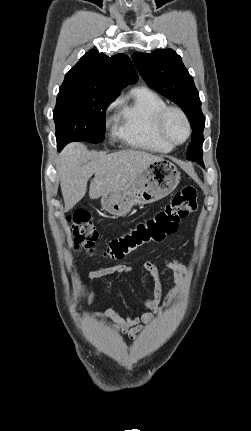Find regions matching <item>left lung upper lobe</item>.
<instances>
[{
    "mask_svg": "<svg viewBox=\"0 0 251 431\" xmlns=\"http://www.w3.org/2000/svg\"><path fill=\"white\" fill-rule=\"evenodd\" d=\"M132 59L147 85L176 103L187 115L192 137L187 148V159L203 165L202 144L205 116L201 111L199 93L193 77L172 49L156 50L150 54L134 53Z\"/></svg>",
    "mask_w": 251,
    "mask_h": 431,
    "instance_id": "left-lung-upper-lobe-1",
    "label": "left lung upper lobe"
}]
</instances>
